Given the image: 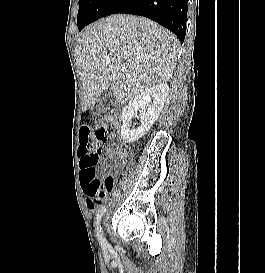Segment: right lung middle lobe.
<instances>
[{
  "instance_id": "dd1d6c3e",
  "label": "right lung middle lobe",
  "mask_w": 265,
  "mask_h": 273,
  "mask_svg": "<svg viewBox=\"0 0 265 273\" xmlns=\"http://www.w3.org/2000/svg\"><path fill=\"white\" fill-rule=\"evenodd\" d=\"M117 0H79L77 25L79 31L86 25L105 17Z\"/></svg>"
}]
</instances>
